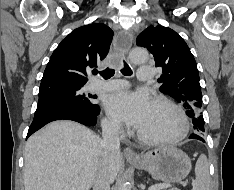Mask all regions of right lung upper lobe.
<instances>
[{
    "instance_id": "cb5924a9",
    "label": "right lung upper lobe",
    "mask_w": 234,
    "mask_h": 190,
    "mask_svg": "<svg viewBox=\"0 0 234 190\" xmlns=\"http://www.w3.org/2000/svg\"><path fill=\"white\" fill-rule=\"evenodd\" d=\"M113 31L102 23L79 27L65 37L50 57L42 82L62 80L84 85L110 48Z\"/></svg>"
}]
</instances>
